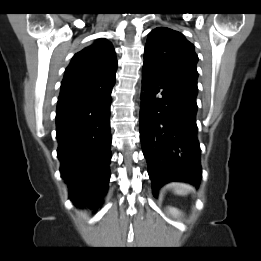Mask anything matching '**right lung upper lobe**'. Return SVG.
<instances>
[{"instance_id":"1","label":"right lung upper lobe","mask_w":261,"mask_h":261,"mask_svg":"<svg viewBox=\"0 0 261 261\" xmlns=\"http://www.w3.org/2000/svg\"><path fill=\"white\" fill-rule=\"evenodd\" d=\"M116 67L113 46L105 39H98L72 58L61 83L59 98L113 86Z\"/></svg>"}]
</instances>
